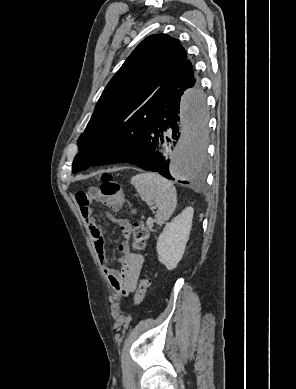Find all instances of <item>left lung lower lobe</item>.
I'll list each match as a JSON object with an SVG mask.
<instances>
[{"mask_svg": "<svg viewBox=\"0 0 296 389\" xmlns=\"http://www.w3.org/2000/svg\"><path fill=\"white\" fill-rule=\"evenodd\" d=\"M185 90L190 94L193 112L187 131L193 160L190 177H197L205 162V101L199 82L190 72L167 80L154 93L149 105L142 106L108 136L98 148V165L130 163L172 179L168 153L175 143L173 140L180 136L179 109Z\"/></svg>", "mask_w": 296, "mask_h": 389, "instance_id": "1", "label": "left lung lower lobe"}]
</instances>
